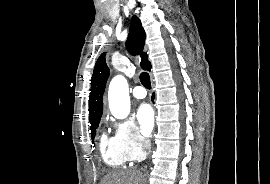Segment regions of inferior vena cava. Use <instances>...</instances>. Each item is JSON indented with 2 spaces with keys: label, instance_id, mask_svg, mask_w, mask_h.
I'll return each instance as SVG.
<instances>
[{
  "label": "inferior vena cava",
  "instance_id": "obj_1",
  "mask_svg": "<svg viewBox=\"0 0 270 184\" xmlns=\"http://www.w3.org/2000/svg\"><path fill=\"white\" fill-rule=\"evenodd\" d=\"M143 146H144L145 149L150 150L151 149V142H150V140L149 139H144L143 140Z\"/></svg>",
  "mask_w": 270,
  "mask_h": 184
}]
</instances>
